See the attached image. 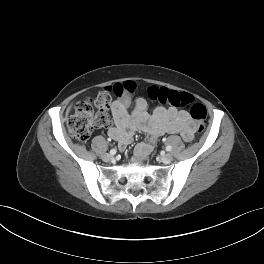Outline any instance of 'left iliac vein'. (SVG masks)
Returning a JSON list of instances; mask_svg holds the SVG:
<instances>
[{
  "label": "left iliac vein",
  "instance_id": "4c4485c4",
  "mask_svg": "<svg viewBox=\"0 0 264 264\" xmlns=\"http://www.w3.org/2000/svg\"><path fill=\"white\" fill-rule=\"evenodd\" d=\"M173 160V155L171 153H167L161 156V161L165 164L170 163Z\"/></svg>",
  "mask_w": 264,
  "mask_h": 264
}]
</instances>
